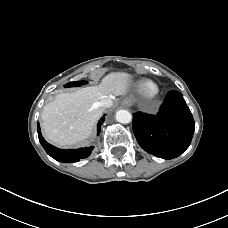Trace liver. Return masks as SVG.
<instances>
[{
    "label": "liver",
    "mask_w": 228,
    "mask_h": 228,
    "mask_svg": "<svg viewBox=\"0 0 228 228\" xmlns=\"http://www.w3.org/2000/svg\"><path fill=\"white\" fill-rule=\"evenodd\" d=\"M127 82V74L111 73L97 86L57 95L41 114L47 140L58 146H70L88 139L103 112L98 102L125 94Z\"/></svg>",
    "instance_id": "6515ba94"
}]
</instances>
